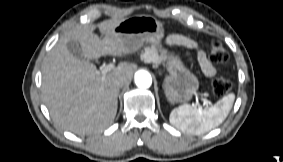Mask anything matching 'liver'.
Here are the masks:
<instances>
[{"label": "liver", "mask_w": 283, "mask_h": 162, "mask_svg": "<svg viewBox=\"0 0 283 162\" xmlns=\"http://www.w3.org/2000/svg\"><path fill=\"white\" fill-rule=\"evenodd\" d=\"M123 19H109L97 25H79L60 37L42 66V95L52 120L62 129L89 135L108 128L115 119L119 88L117 78L129 83L134 63L121 62L103 76L96 66L75 58L68 50L69 41L79 42L88 59L101 56H126L130 51L113 32ZM104 35L99 40L93 32Z\"/></svg>", "instance_id": "1"}]
</instances>
